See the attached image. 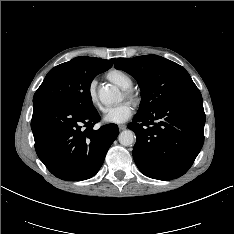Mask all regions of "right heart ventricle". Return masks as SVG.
I'll return each mask as SVG.
<instances>
[{
	"mask_svg": "<svg viewBox=\"0 0 234 234\" xmlns=\"http://www.w3.org/2000/svg\"><path fill=\"white\" fill-rule=\"evenodd\" d=\"M107 79L118 86L121 89H127L132 86V77L125 71L120 69L110 70L107 75Z\"/></svg>",
	"mask_w": 234,
	"mask_h": 234,
	"instance_id": "1",
	"label": "right heart ventricle"
}]
</instances>
